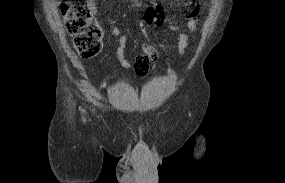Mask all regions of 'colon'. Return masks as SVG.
Wrapping results in <instances>:
<instances>
[{
  "instance_id": "colon-1",
  "label": "colon",
  "mask_w": 285,
  "mask_h": 183,
  "mask_svg": "<svg viewBox=\"0 0 285 183\" xmlns=\"http://www.w3.org/2000/svg\"><path fill=\"white\" fill-rule=\"evenodd\" d=\"M84 4L85 0H63L60 9L67 31L74 36L75 49L83 57H92L101 49L103 30ZM135 71L139 76H144L148 67L144 63H138Z\"/></svg>"
}]
</instances>
